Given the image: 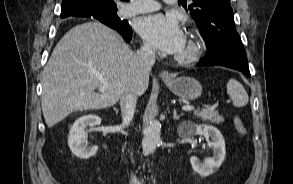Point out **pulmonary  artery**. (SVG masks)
<instances>
[{
  "label": "pulmonary artery",
  "mask_w": 293,
  "mask_h": 184,
  "mask_svg": "<svg viewBox=\"0 0 293 184\" xmlns=\"http://www.w3.org/2000/svg\"><path fill=\"white\" fill-rule=\"evenodd\" d=\"M168 4L175 3L176 0H164ZM160 8L159 3L154 0H134L133 2L124 5L120 13L123 16H131L141 13L156 11Z\"/></svg>",
  "instance_id": "e3ab8cb5"
}]
</instances>
